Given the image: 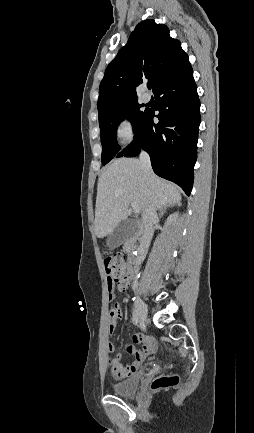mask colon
I'll use <instances>...</instances> for the list:
<instances>
[{
  "label": "colon",
  "instance_id": "obj_1",
  "mask_svg": "<svg viewBox=\"0 0 254 433\" xmlns=\"http://www.w3.org/2000/svg\"><path fill=\"white\" fill-rule=\"evenodd\" d=\"M104 269L107 274L109 289L115 284H126L129 280V265L124 256L120 254H109L103 259ZM178 382L175 375H166L156 378L151 384V390L157 391L169 388Z\"/></svg>",
  "mask_w": 254,
  "mask_h": 433
}]
</instances>
